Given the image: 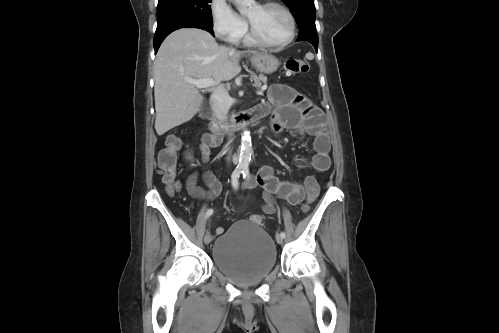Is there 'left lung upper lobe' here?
<instances>
[{
  "mask_svg": "<svg viewBox=\"0 0 499 333\" xmlns=\"http://www.w3.org/2000/svg\"><path fill=\"white\" fill-rule=\"evenodd\" d=\"M296 18L299 29L316 30L314 0H282Z\"/></svg>",
  "mask_w": 499,
  "mask_h": 333,
  "instance_id": "1",
  "label": "left lung upper lobe"
}]
</instances>
